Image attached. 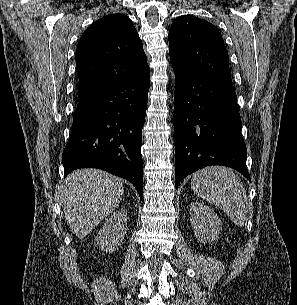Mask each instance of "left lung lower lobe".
I'll use <instances>...</instances> for the list:
<instances>
[{"label":"left lung lower lobe","instance_id":"1","mask_svg":"<svg viewBox=\"0 0 297 305\" xmlns=\"http://www.w3.org/2000/svg\"><path fill=\"white\" fill-rule=\"evenodd\" d=\"M172 66L176 72L175 187L210 165L234 168L251 181L231 76H194L173 62Z\"/></svg>","mask_w":297,"mask_h":305}]
</instances>
